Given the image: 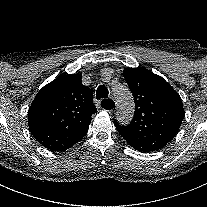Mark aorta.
<instances>
[{
	"label": "aorta",
	"instance_id": "aorta-1",
	"mask_svg": "<svg viewBox=\"0 0 207 207\" xmlns=\"http://www.w3.org/2000/svg\"><path fill=\"white\" fill-rule=\"evenodd\" d=\"M113 94L117 104V119L121 124H128L134 114V101L131 91L126 85L116 84Z\"/></svg>",
	"mask_w": 207,
	"mask_h": 207
}]
</instances>
